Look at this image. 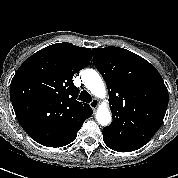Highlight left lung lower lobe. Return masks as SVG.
<instances>
[{"label":"left lung lower lobe","mask_w":178,"mask_h":178,"mask_svg":"<svg viewBox=\"0 0 178 178\" xmlns=\"http://www.w3.org/2000/svg\"><path fill=\"white\" fill-rule=\"evenodd\" d=\"M104 143L112 150L118 151V152H130L135 151L138 148L130 147L127 145L120 144L118 142H115L111 139H109L106 135L103 134Z\"/></svg>","instance_id":"1"}]
</instances>
